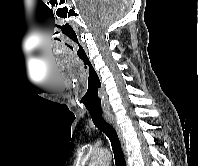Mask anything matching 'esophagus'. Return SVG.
Segmentation results:
<instances>
[{
	"label": "esophagus",
	"instance_id": "1",
	"mask_svg": "<svg viewBox=\"0 0 198 166\" xmlns=\"http://www.w3.org/2000/svg\"><path fill=\"white\" fill-rule=\"evenodd\" d=\"M104 118H105V120H106L108 123H110V124L113 126V128L116 130V132H117V134H118V136H119V138H120L122 148L125 150V146H126L125 139H124V137H123V135H122V131H121V129H120V126H119V124H118V122H117L116 117H115L113 114L108 113V114H105V115H104Z\"/></svg>",
	"mask_w": 198,
	"mask_h": 166
}]
</instances>
